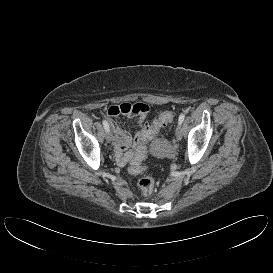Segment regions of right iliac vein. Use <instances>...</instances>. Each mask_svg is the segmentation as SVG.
<instances>
[{
    "label": "right iliac vein",
    "instance_id": "right-iliac-vein-1",
    "mask_svg": "<svg viewBox=\"0 0 273 273\" xmlns=\"http://www.w3.org/2000/svg\"><path fill=\"white\" fill-rule=\"evenodd\" d=\"M105 138H106V141L108 143H111L112 142V139H113V136H112V133L110 131H107L106 132V135H105Z\"/></svg>",
    "mask_w": 273,
    "mask_h": 273
}]
</instances>
